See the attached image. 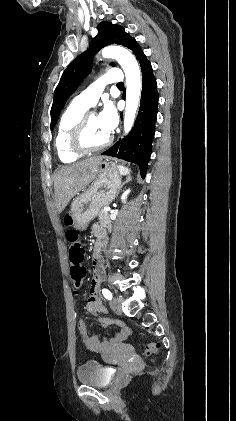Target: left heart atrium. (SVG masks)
<instances>
[{
	"mask_svg": "<svg viewBox=\"0 0 236 421\" xmlns=\"http://www.w3.org/2000/svg\"><path fill=\"white\" fill-rule=\"evenodd\" d=\"M101 124L103 125L104 129L110 134L114 131L115 127L118 123V117L114 106L111 103H108L104 110L99 115Z\"/></svg>",
	"mask_w": 236,
	"mask_h": 421,
	"instance_id": "obj_1",
	"label": "left heart atrium"
}]
</instances>
